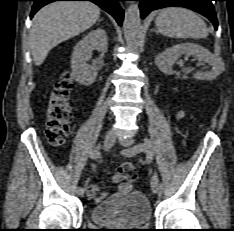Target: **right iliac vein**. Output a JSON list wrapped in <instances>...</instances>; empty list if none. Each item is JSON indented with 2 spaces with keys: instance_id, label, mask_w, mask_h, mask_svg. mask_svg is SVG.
Masks as SVG:
<instances>
[{
  "instance_id": "right-iliac-vein-1",
  "label": "right iliac vein",
  "mask_w": 234,
  "mask_h": 231,
  "mask_svg": "<svg viewBox=\"0 0 234 231\" xmlns=\"http://www.w3.org/2000/svg\"><path fill=\"white\" fill-rule=\"evenodd\" d=\"M115 139H116V136L114 134V132L112 131H109L106 136H105V139H104V144H103V147L105 150H109L115 143ZM77 194L79 196H83L84 195V191L80 190L79 188L77 189Z\"/></svg>"
}]
</instances>
